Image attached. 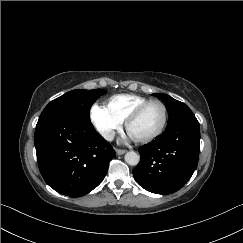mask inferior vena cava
Segmentation results:
<instances>
[{
	"instance_id": "inferior-vena-cava-1",
	"label": "inferior vena cava",
	"mask_w": 243,
	"mask_h": 243,
	"mask_svg": "<svg viewBox=\"0 0 243 243\" xmlns=\"http://www.w3.org/2000/svg\"><path fill=\"white\" fill-rule=\"evenodd\" d=\"M102 136L108 140V141H112L115 137V132L112 130H105L102 132Z\"/></svg>"
}]
</instances>
